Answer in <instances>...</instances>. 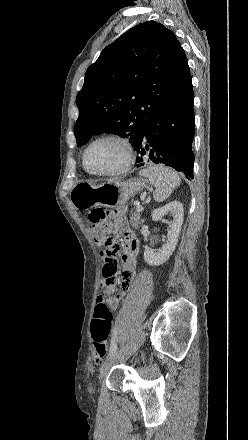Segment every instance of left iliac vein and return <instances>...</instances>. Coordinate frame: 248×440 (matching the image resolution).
I'll use <instances>...</instances> for the list:
<instances>
[{"mask_svg": "<svg viewBox=\"0 0 248 440\" xmlns=\"http://www.w3.org/2000/svg\"><path fill=\"white\" fill-rule=\"evenodd\" d=\"M144 341L145 333L140 332L128 346L110 355L100 368L99 380L101 381L107 375L113 365L126 361L140 348Z\"/></svg>", "mask_w": 248, "mask_h": 440, "instance_id": "4c4485c4", "label": "left iliac vein"}]
</instances>
